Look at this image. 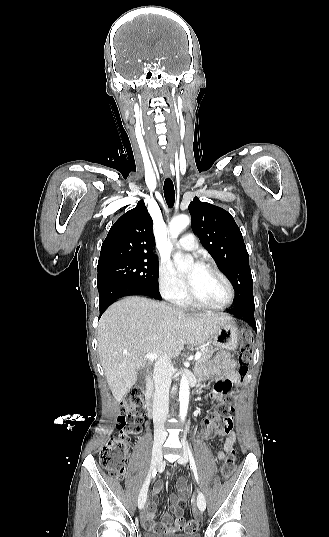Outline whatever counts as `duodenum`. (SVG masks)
Returning a JSON list of instances; mask_svg holds the SVG:
<instances>
[{
	"instance_id": "duodenum-1",
	"label": "duodenum",
	"mask_w": 329,
	"mask_h": 537,
	"mask_svg": "<svg viewBox=\"0 0 329 537\" xmlns=\"http://www.w3.org/2000/svg\"><path fill=\"white\" fill-rule=\"evenodd\" d=\"M145 405H146V414L148 417L152 416L153 410V400H152V381L151 377L145 379Z\"/></svg>"
}]
</instances>
